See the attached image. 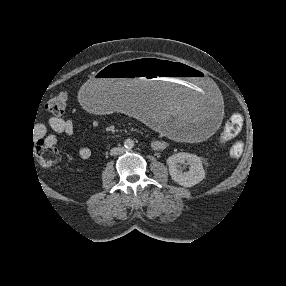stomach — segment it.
Instances as JSON below:
<instances>
[{"mask_svg": "<svg viewBox=\"0 0 286 286\" xmlns=\"http://www.w3.org/2000/svg\"><path fill=\"white\" fill-rule=\"evenodd\" d=\"M80 105L101 115L117 108L156 132L189 143L216 137L227 120L219 88L178 61L128 58L112 63L79 90Z\"/></svg>", "mask_w": 286, "mask_h": 286, "instance_id": "obj_1", "label": "stomach"}]
</instances>
